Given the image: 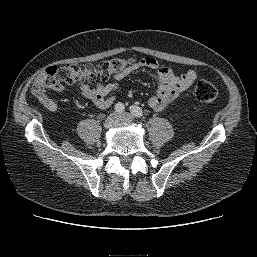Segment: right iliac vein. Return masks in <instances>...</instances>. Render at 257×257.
<instances>
[{
    "label": "right iliac vein",
    "mask_w": 257,
    "mask_h": 257,
    "mask_svg": "<svg viewBox=\"0 0 257 257\" xmlns=\"http://www.w3.org/2000/svg\"><path fill=\"white\" fill-rule=\"evenodd\" d=\"M119 120H120V117L118 114L116 113L110 114L104 122V128L110 129L114 127L119 122Z\"/></svg>",
    "instance_id": "right-iliac-vein-1"
}]
</instances>
